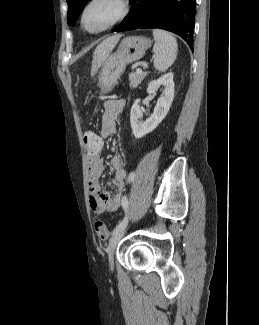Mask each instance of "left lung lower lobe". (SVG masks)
<instances>
[{"instance_id":"obj_1","label":"left lung lower lobe","mask_w":259,"mask_h":325,"mask_svg":"<svg viewBox=\"0 0 259 325\" xmlns=\"http://www.w3.org/2000/svg\"><path fill=\"white\" fill-rule=\"evenodd\" d=\"M130 13L113 32L160 28L182 37L193 48L196 0H130Z\"/></svg>"}]
</instances>
